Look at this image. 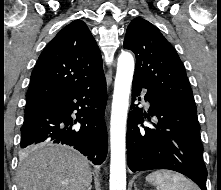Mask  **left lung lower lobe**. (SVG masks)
<instances>
[{"label": "left lung lower lobe", "mask_w": 221, "mask_h": 190, "mask_svg": "<svg viewBox=\"0 0 221 190\" xmlns=\"http://www.w3.org/2000/svg\"><path fill=\"white\" fill-rule=\"evenodd\" d=\"M147 89L145 100L150 102L148 114L132 105L127 122V161L133 172L170 169L193 180L206 190L207 169L203 161V145L196 113L167 102L159 93L137 78L132 82V98ZM140 100V98H138ZM143 125L144 118L151 122Z\"/></svg>", "instance_id": "left-lung-lower-lobe-1"}]
</instances>
